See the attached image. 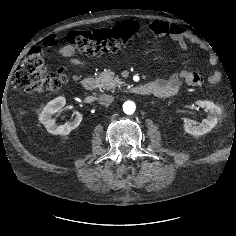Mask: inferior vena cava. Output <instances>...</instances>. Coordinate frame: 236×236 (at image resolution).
Instances as JSON below:
<instances>
[{"instance_id": "602c4592", "label": "inferior vena cava", "mask_w": 236, "mask_h": 236, "mask_svg": "<svg viewBox=\"0 0 236 236\" xmlns=\"http://www.w3.org/2000/svg\"><path fill=\"white\" fill-rule=\"evenodd\" d=\"M114 101V97L109 94H103L99 97L100 104L109 106Z\"/></svg>"}]
</instances>
